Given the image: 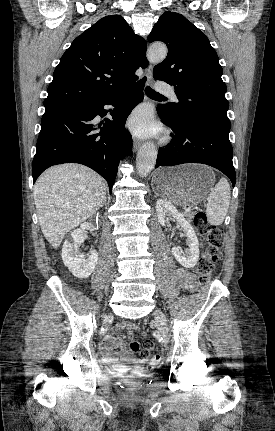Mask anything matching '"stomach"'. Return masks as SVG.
<instances>
[{
	"mask_svg": "<svg viewBox=\"0 0 275 431\" xmlns=\"http://www.w3.org/2000/svg\"><path fill=\"white\" fill-rule=\"evenodd\" d=\"M215 174L202 164H185L157 170L152 178L153 190L179 206L201 203L213 188Z\"/></svg>",
	"mask_w": 275,
	"mask_h": 431,
	"instance_id": "obj_1",
	"label": "stomach"
}]
</instances>
